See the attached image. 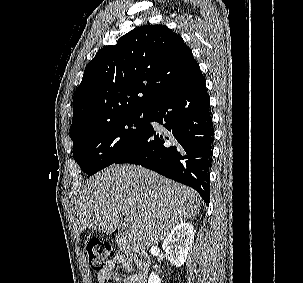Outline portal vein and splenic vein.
<instances>
[{
    "label": "portal vein and splenic vein",
    "instance_id": "1",
    "mask_svg": "<svg viewBox=\"0 0 303 283\" xmlns=\"http://www.w3.org/2000/svg\"><path fill=\"white\" fill-rule=\"evenodd\" d=\"M124 221L128 224L132 221V219L128 216L123 217Z\"/></svg>",
    "mask_w": 303,
    "mask_h": 283
}]
</instances>
